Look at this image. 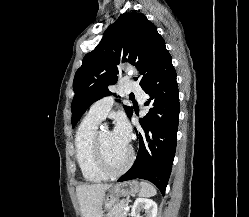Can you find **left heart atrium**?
Masks as SVG:
<instances>
[{
    "label": "left heart atrium",
    "instance_id": "obj_1",
    "mask_svg": "<svg viewBox=\"0 0 249 217\" xmlns=\"http://www.w3.org/2000/svg\"><path fill=\"white\" fill-rule=\"evenodd\" d=\"M129 125L124 118H119L113 130V136L116 141L122 145L127 146L129 142Z\"/></svg>",
    "mask_w": 249,
    "mask_h": 217
}]
</instances>
